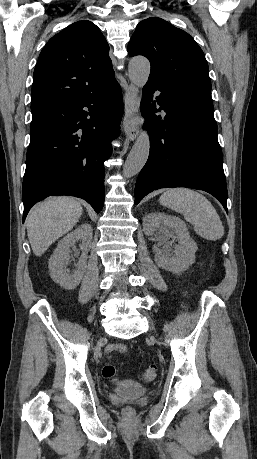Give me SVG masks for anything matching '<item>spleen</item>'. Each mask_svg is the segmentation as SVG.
<instances>
[{
	"label": "spleen",
	"instance_id": "1",
	"mask_svg": "<svg viewBox=\"0 0 257 459\" xmlns=\"http://www.w3.org/2000/svg\"><path fill=\"white\" fill-rule=\"evenodd\" d=\"M160 203L182 214L199 236L216 241L224 235L216 209L202 194L188 188H171L160 196Z\"/></svg>",
	"mask_w": 257,
	"mask_h": 459
}]
</instances>
